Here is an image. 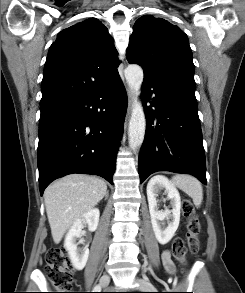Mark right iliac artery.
<instances>
[{"label": "right iliac artery", "instance_id": "right-iliac-artery-1", "mask_svg": "<svg viewBox=\"0 0 245 293\" xmlns=\"http://www.w3.org/2000/svg\"><path fill=\"white\" fill-rule=\"evenodd\" d=\"M100 290H101L100 285H96V286L94 287V292H99Z\"/></svg>", "mask_w": 245, "mask_h": 293}]
</instances>
